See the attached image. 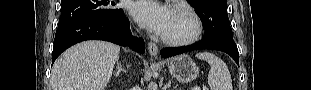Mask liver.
Segmentation results:
<instances>
[{
  "instance_id": "6515ba94",
  "label": "liver",
  "mask_w": 311,
  "mask_h": 90,
  "mask_svg": "<svg viewBox=\"0 0 311 90\" xmlns=\"http://www.w3.org/2000/svg\"><path fill=\"white\" fill-rule=\"evenodd\" d=\"M119 52V46L104 41L72 46L53 65L52 90H104Z\"/></svg>"
}]
</instances>
